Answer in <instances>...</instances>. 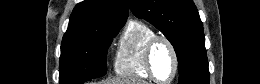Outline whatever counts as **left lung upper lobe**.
<instances>
[{"mask_svg":"<svg viewBox=\"0 0 260 84\" xmlns=\"http://www.w3.org/2000/svg\"><path fill=\"white\" fill-rule=\"evenodd\" d=\"M135 16L159 29L179 62V84H209L203 24L192 0H128Z\"/></svg>","mask_w":260,"mask_h":84,"instance_id":"obj_1","label":"left lung upper lobe"}]
</instances>
